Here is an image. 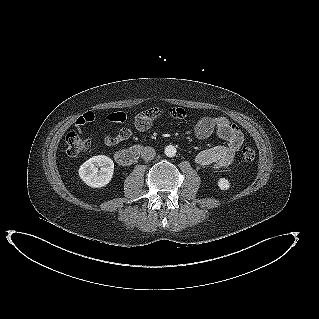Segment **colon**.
<instances>
[{
  "label": "colon",
  "mask_w": 319,
  "mask_h": 319,
  "mask_svg": "<svg viewBox=\"0 0 319 319\" xmlns=\"http://www.w3.org/2000/svg\"><path fill=\"white\" fill-rule=\"evenodd\" d=\"M111 121L123 122L125 115L123 113H113L109 116ZM66 153L70 157H76L85 152L90 147V142L78 135L75 132H70L65 137ZM242 157L247 162H252L255 159V151L246 146L242 149Z\"/></svg>",
  "instance_id": "1"
}]
</instances>
